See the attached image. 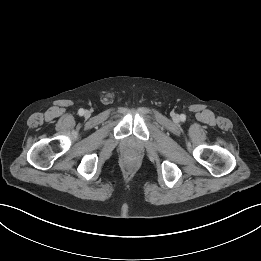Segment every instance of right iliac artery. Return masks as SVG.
Wrapping results in <instances>:
<instances>
[{"instance_id": "obj_1", "label": "right iliac artery", "mask_w": 261, "mask_h": 261, "mask_svg": "<svg viewBox=\"0 0 261 261\" xmlns=\"http://www.w3.org/2000/svg\"><path fill=\"white\" fill-rule=\"evenodd\" d=\"M78 113L82 116L84 114V109H79Z\"/></svg>"}]
</instances>
